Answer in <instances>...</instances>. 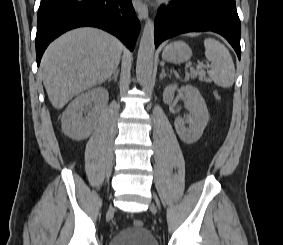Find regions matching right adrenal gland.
<instances>
[{
	"mask_svg": "<svg viewBox=\"0 0 283 245\" xmlns=\"http://www.w3.org/2000/svg\"><path fill=\"white\" fill-rule=\"evenodd\" d=\"M118 74H119V69H116V70L113 72L112 77H109L107 81L110 82L111 80H114V81L116 82V81H117Z\"/></svg>",
	"mask_w": 283,
	"mask_h": 245,
	"instance_id": "1",
	"label": "right adrenal gland"
}]
</instances>
